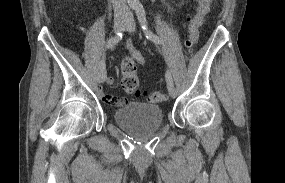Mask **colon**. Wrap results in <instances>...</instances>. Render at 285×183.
<instances>
[{"mask_svg": "<svg viewBox=\"0 0 285 183\" xmlns=\"http://www.w3.org/2000/svg\"><path fill=\"white\" fill-rule=\"evenodd\" d=\"M213 0H196L195 12L187 19L188 33L185 40V46L189 50H193L199 39V29L203 23L204 17L209 11L210 4ZM121 86L123 90L133 96H140V80L137 75V65L134 59L125 58L120 67ZM168 99V96L163 91H152L148 95V100L151 103H161ZM113 104H121V100L116 97L111 98Z\"/></svg>", "mask_w": 285, "mask_h": 183, "instance_id": "1", "label": "colon"}]
</instances>
